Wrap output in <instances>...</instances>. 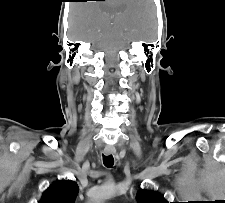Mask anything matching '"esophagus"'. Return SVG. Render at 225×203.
<instances>
[{
	"label": "esophagus",
	"instance_id": "1",
	"mask_svg": "<svg viewBox=\"0 0 225 203\" xmlns=\"http://www.w3.org/2000/svg\"><path fill=\"white\" fill-rule=\"evenodd\" d=\"M115 153H116L115 148H105L104 149V154L105 155H111V154H115Z\"/></svg>",
	"mask_w": 225,
	"mask_h": 203
}]
</instances>
